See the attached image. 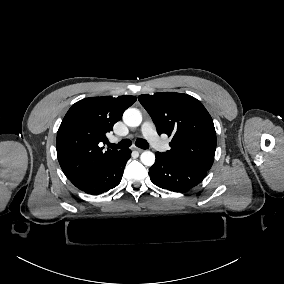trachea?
<instances>
[{
    "label": "trachea",
    "instance_id": "trachea-1",
    "mask_svg": "<svg viewBox=\"0 0 284 284\" xmlns=\"http://www.w3.org/2000/svg\"><path fill=\"white\" fill-rule=\"evenodd\" d=\"M131 141L129 139H124L121 142H119L118 144H111L109 143L108 146L109 148L112 149H125L131 146ZM135 145L141 149H148L149 148V144L146 140L138 138L135 142Z\"/></svg>",
    "mask_w": 284,
    "mask_h": 284
}]
</instances>
